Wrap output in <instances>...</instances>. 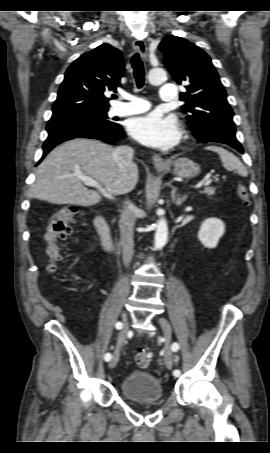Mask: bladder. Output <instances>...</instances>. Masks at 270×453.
<instances>
[{
	"instance_id": "31cf9c89",
	"label": "bladder",
	"mask_w": 270,
	"mask_h": 453,
	"mask_svg": "<svg viewBox=\"0 0 270 453\" xmlns=\"http://www.w3.org/2000/svg\"><path fill=\"white\" fill-rule=\"evenodd\" d=\"M124 398L132 402L161 401L164 390L161 382L149 372L133 371L120 383Z\"/></svg>"
}]
</instances>
